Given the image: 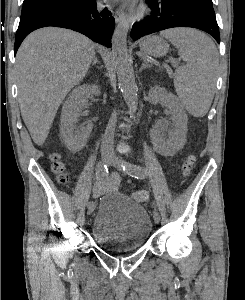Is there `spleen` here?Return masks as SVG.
Instances as JSON below:
<instances>
[{"instance_id": "3e777b00", "label": "spleen", "mask_w": 245, "mask_h": 300, "mask_svg": "<svg viewBox=\"0 0 245 300\" xmlns=\"http://www.w3.org/2000/svg\"><path fill=\"white\" fill-rule=\"evenodd\" d=\"M177 49L186 66L175 71L174 86L182 105L195 117H203L213 100L218 52L213 41L194 29L175 28L160 32Z\"/></svg>"}]
</instances>
